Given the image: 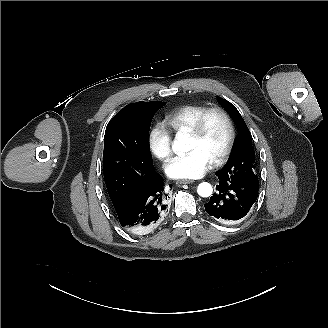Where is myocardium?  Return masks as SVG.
I'll list each match as a JSON object with an SVG mask.
<instances>
[{
    "label": "myocardium",
    "instance_id": "obj_1",
    "mask_svg": "<svg viewBox=\"0 0 328 328\" xmlns=\"http://www.w3.org/2000/svg\"><path fill=\"white\" fill-rule=\"evenodd\" d=\"M213 115L222 117L229 127V138L227 145L221 155L212 163L214 166H220L228 161L236 143V127L231 115L221 107L208 108L197 118L194 125L189 129L188 134L193 137H199L202 134L208 119Z\"/></svg>",
    "mask_w": 328,
    "mask_h": 328
}]
</instances>
